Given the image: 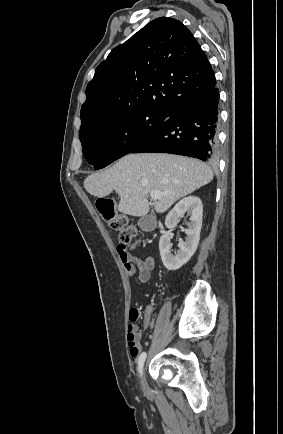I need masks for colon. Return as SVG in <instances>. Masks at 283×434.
I'll return each mask as SVG.
<instances>
[{
    "label": "colon",
    "mask_w": 283,
    "mask_h": 434,
    "mask_svg": "<svg viewBox=\"0 0 283 434\" xmlns=\"http://www.w3.org/2000/svg\"><path fill=\"white\" fill-rule=\"evenodd\" d=\"M96 209L102 219L107 222L114 230L119 232L120 245L127 251L128 248L134 247L138 241L136 240L135 230L128 224L125 217L119 216L116 213L113 200L100 198L96 201ZM140 314L137 309H132L130 312L131 321L135 322Z\"/></svg>",
    "instance_id": "obj_1"
}]
</instances>
